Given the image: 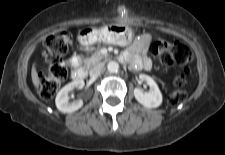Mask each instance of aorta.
Wrapping results in <instances>:
<instances>
[{"label":"aorta","instance_id":"762f6f07","mask_svg":"<svg viewBox=\"0 0 225 155\" xmlns=\"http://www.w3.org/2000/svg\"><path fill=\"white\" fill-rule=\"evenodd\" d=\"M107 70L110 73H116L119 70V64L116 61H110L107 64Z\"/></svg>","mask_w":225,"mask_h":155}]
</instances>
